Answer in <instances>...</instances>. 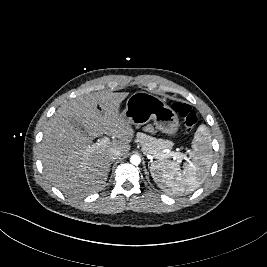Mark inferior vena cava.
I'll list each match as a JSON object with an SVG mask.
<instances>
[{"instance_id": "1", "label": "inferior vena cava", "mask_w": 267, "mask_h": 267, "mask_svg": "<svg viewBox=\"0 0 267 267\" xmlns=\"http://www.w3.org/2000/svg\"><path fill=\"white\" fill-rule=\"evenodd\" d=\"M120 156H122V152L120 149H117V148L111 149L108 154V157L110 160H115L119 158Z\"/></svg>"}]
</instances>
